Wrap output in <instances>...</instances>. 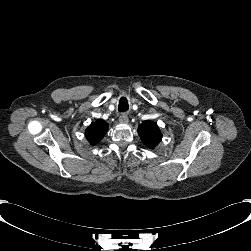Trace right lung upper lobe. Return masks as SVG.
Wrapping results in <instances>:
<instances>
[{
    "label": "right lung upper lobe",
    "instance_id": "1",
    "mask_svg": "<svg viewBox=\"0 0 251 251\" xmlns=\"http://www.w3.org/2000/svg\"><path fill=\"white\" fill-rule=\"evenodd\" d=\"M107 130L108 124L104 120L99 119L86 129L85 135L90 144L95 145L104 137Z\"/></svg>",
    "mask_w": 251,
    "mask_h": 251
}]
</instances>
